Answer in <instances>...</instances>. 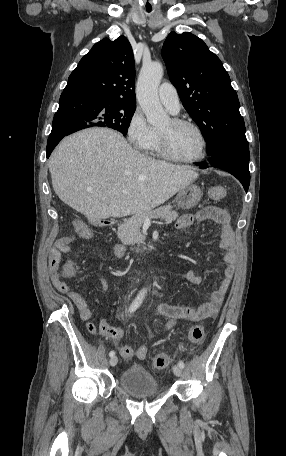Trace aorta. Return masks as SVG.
Segmentation results:
<instances>
[{
	"mask_svg": "<svg viewBox=\"0 0 286 456\" xmlns=\"http://www.w3.org/2000/svg\"><path fill=\"white\" fill-rule=\"evenodd\" d=\"M163 77V67L159 62L144 64L137 81V99L147 122L160 125L168 121L169 116L163 109L158 96V86Z\"/></svg>",
	"mask_w": 286,
	"mask_h": 456,
	"instance_id": "1",
	"label": "aorta"
}]
</instances>
